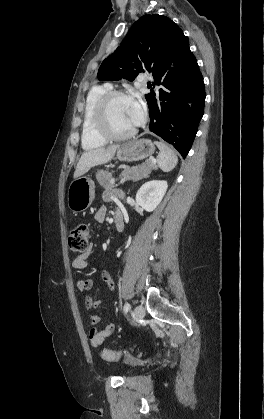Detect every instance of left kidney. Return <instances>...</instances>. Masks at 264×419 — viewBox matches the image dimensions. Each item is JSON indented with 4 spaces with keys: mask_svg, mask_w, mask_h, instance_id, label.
Returning <instances> with one entry per match:
<instances>
[{
    "mask_svg": "<svg viewBox=\"0 0 264 419\" xmlns=\"http://www.w3.org/2000/svg\"><path fill=\"white\" fill-rule=\"evenodd\" d=\"M168 184L165 180H151L144 183L136 194V202L147 212L154 211L162 201Z\"/></svg>",
    "mask_w": 264,
    "mask_h": 419,
    "instance_id": "left-kidney-1",
    "label": "left kidney"
}]
</instances>
